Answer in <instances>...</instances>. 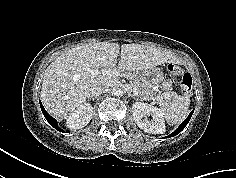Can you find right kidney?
I'll return each mask as SVG.
<instances>
[{
  "label": "right kidney",
  "mask_w": 236,
  "mask_h": 178,
  "mask_svg": "<svg viewBox=\"0 0 236 178\" xmlns=\"http://www.w3.org/2000/svg\"><path fill=\"white\" fill-rule=\"evenodd\" d=\"M93 116V107L89 103L82 104L73 114L67 118L66 125L70 129L85 127Z\"/></svg>",
  "instance_id": "obj_1"
}]
</instances>
